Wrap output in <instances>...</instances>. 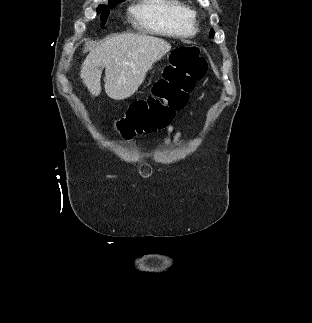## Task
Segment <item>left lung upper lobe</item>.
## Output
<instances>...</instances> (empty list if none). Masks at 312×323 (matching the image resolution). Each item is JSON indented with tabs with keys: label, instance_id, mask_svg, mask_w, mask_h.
I'll return each instance as SVG.
<instances>
[{
	"label": "left lung upper lobe",
	"instance_id": "1",
	"mask_svg": "<svg viewBox=\"0 0 312 323\" xmlns=\"http://www.w3.org/2000/svg\"><path fill=\"white\" fill-rule=\"evenodd\" d=\"M213 32H214V31H213V30H211V32H210V33L213 35Z\"/></svg>",
	"mask_w": 312,
	"mask_h": 323
}]
</instances>
